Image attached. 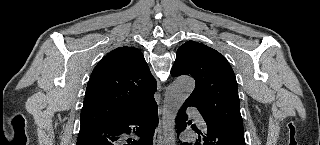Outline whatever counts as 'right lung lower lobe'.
Listing matches in <instances>:
<instances>
[{
  "label": "right lung lower lobe",
  "instance_id": "1",
  "mask_svg": "<svg viewBox=\"0 0 320 145\" xmlns=\"http://www.w3.org/2000/svg\"><path fill=\"white\" fill-rule=\"evenodd\" d=\"M157 104L154 101L139 113L116 122L96 123L80 127L77 145H152L158 125ZM134 132L139 139H125L124 134Z\"/></svg>",
  "mask_w": 320,
  "mask_h": 145
}]
</instances>
